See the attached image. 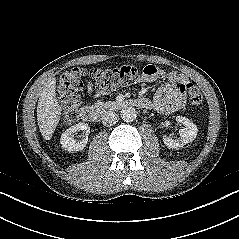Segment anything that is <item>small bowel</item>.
Segmentation results:
<instances>
[{
  "instance_id": "c3829d8e",
  "label": "small bowel",
  "mask_w": 239,
  "mask_h": 239,
  "mask_svg": "<svg viewBox=\"0 0 239 239\" xmlns=\"http://www.w3.org/2000/svg\"><path fill=\"white\" fill-rule=\"evenodd\" d=\"M163 76V72L155 65L149 64L144 67L142 74L137 81L151 83ZM185 79L177 74H169V83L161 86L154 98L155 109L162 113L168 114L181 109L184 106V85ZM87 90L94 96H104L109 93L108 90H95L91 83L88 84Z\"/></svg>"
}]
</instances>
